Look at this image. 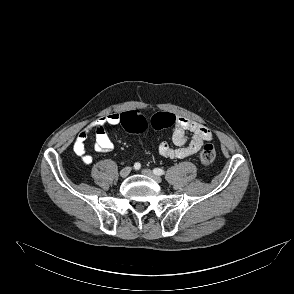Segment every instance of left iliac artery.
<instances>
[{"label": "left iliac artery", "mask_w": 294, "mask_h": 294, "mask_svg": "<svg viewBox=\"0 0 294 294\" xmlns=\"http://www.w3.org/2000/svg\"><path fill=\"white\" fill-rule=\"evenodd\" d=\"M153 172L156 174V175H163L164 174V170L160 169V168H155L153 170Z\"/></svg>", "instance_id": "1"}]
</instances>
